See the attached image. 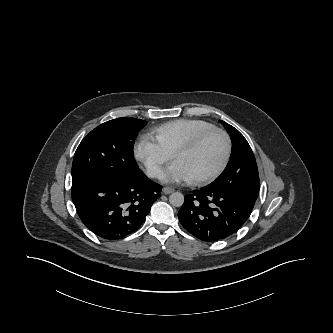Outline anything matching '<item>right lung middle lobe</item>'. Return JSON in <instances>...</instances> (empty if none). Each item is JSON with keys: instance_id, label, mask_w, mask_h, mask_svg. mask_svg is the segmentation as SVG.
<instances>
[{"instance_id": "right-lung-middle-lobe-1", "label": "right lung middle lobe", "mask_w": 333, "mask_h": 333, "mask_svg": "<svg viewBox=\"0 0 333 333\" xmlns=\"http://www.w3.org/2000/svg\"><path fill=\"white\" fill-rule=\"evenodd\" d=\"M146 121L123 117L92 130L79 144L72 164V184L95 177L129 179L139 171L134 140Z\"/></svg>"}]
</instances>
